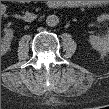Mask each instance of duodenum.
Masks as SVG:
<instances>
[{"mask_svg": "<svg viewBox=\"0 0 109 109\" xmlns=\"http://www.w3.org/2000/svg\"><path fill=\"white\" fill-rule=\"evenodd\" d=\"M77 6L74 3H60V2H54L50 5V7L56 8V7H75Z\"/></svg>", "mask_w": 109, "mask_h": 109, "instance_id": "1", "label": "duodenum"}]
</instances>
